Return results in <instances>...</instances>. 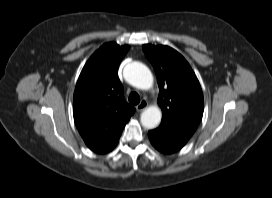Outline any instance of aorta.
<instances>
[{"label": "aorta", "mask_w": 272, "mask_h": 198, "mask_svg": "<svg viewBox=\"0 0 272 198\" xmlns=\"http://www.w3.org/2000/svg\"><path fill=\"white\" fill-rule=\"evenodd\" d=\"M124 78L132 86L147 90L153 85V75L149 68L140 62H131L124 68ZM162 118V113L159 107L150 106L141 114V124L146 129L156 128Z\"/></svg>", "instance_id": "aorta-1"}]
</instances>
